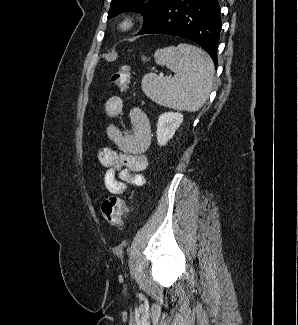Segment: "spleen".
<instances>
[{
    "label": "spleen",
    "instance_id": "obj_1",
    "mask_svg": "<svg viewBox=\"0 0 298 325\" xmlns=\"http://www.w3.org/2000/svg\"><path fill=\"white\" fill-rule=\"evenodd\" d=\"M155 62L167 66L174 76L147 72L141 80L146 96L153 102L174 110L196 112L206 102L212 88L214 64L211 56L193 44L180 42L154 52ZM142 60H148L142 54Z\"/></svg>",
    "mask_w": 298,
    "mask_h": 325
}]
</instances>
